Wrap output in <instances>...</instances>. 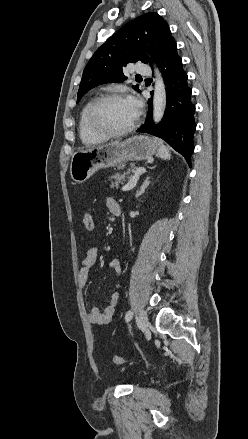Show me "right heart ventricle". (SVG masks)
<instances>
[{
  "label": "right heart ventricle",
  "mask_w": 248,
  "mask_h": 439,
  "mask_svg": "<svg viewBox=\"0 0 248 439\" xmlns=\"http://www.w3.org/2000/svg\"><path fill=\"white\" fill-rule=\"evenodd\" d=\"M95 98H91L88 100L83 108L81 109L78 121V131L79 137L83 144L87 146L96 145L107 140L106 136L95 133L88 124V111L92 103L95 101Z\"/></svg>",
  "instance_id": "obj_1"
}]
</instances>
